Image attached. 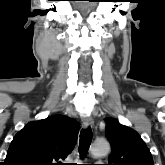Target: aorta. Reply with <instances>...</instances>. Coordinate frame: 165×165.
Returning <instances> with one entry per match:
<instances>
[{"mask_svg": "<svg viewBox=\"0 0 165 165\" xmlns=\"http://www.w3.org/2000/svg\"><path fill=\"white\" fill-rule=\"evenodd\" d=\"M110 151V146L107 141H97L91 147V153L94 156H104Z\"/></svg>", "mask_w": 165, "mask_h": 165, "instance_id": "obj_1", "label": "aorta"}]
</instances>
